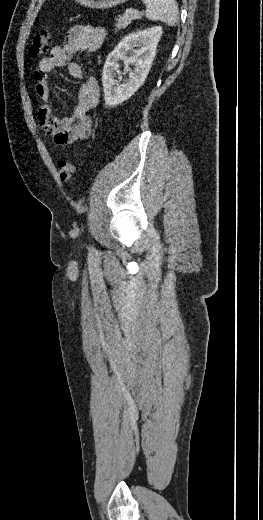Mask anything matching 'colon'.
I'll return each mask as SVG.
<instances>
[{
  "label": "colon",
  "mask_w": 263,
  "mask_h": 520,
  "mask_svg": "<svg viewBox=\"0 0 263 520\" xmlns=\"http://www.w3.org/2000/svg\"><path fill=\"white\" fill-rule=\"evenodd\" d=\"M51 41V32L49 30L37 32L29 48V55L35 58L45 54L51 45ZM57 170L60 179L64 182L71 181L76 173L75 166L66 160L59 161Z\"/></svg>",
  "instance_id": "obj_1"
}]
</instances>
